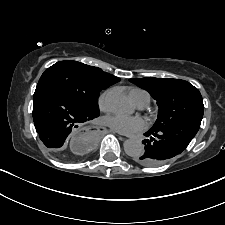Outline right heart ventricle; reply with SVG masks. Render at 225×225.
I'll return each mask as SVG.
<instances>
[{"mask_svg": "<svg viewBox=\"0 0 225 225\" xmlns=\"http://www.w3.org/2000/svg\"><path fill=\"white\" fill-rule=\"evenodd\" d=\"M130 96L133 99V101L135 102L138 98H140L141 96H145L148 98V101L150 100L149 94L147 92H145L144 90L141 89H133L130 91Z\"/></svg>", "mask_w": 225, "mask_h": 225, "instance_id": "obj_1", "label": "right heart ventricle"}]
</instances>
